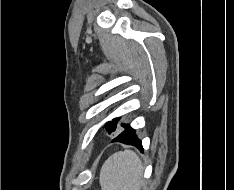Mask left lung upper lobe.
<instances>
[{"label":"left lung upper lobe","mask_w":234,"mask_h":190,"mask_svg":"<svg viewBox=\"0 0 234 190\" xmlns=\"http://www.w3.org/2000/svg\"><path fill=\"white\" fill-rule=\"evenodd\" d=\"M118 120H119V118H115V119H113V121L106 123V129H107L109 134L111 132H114L119 127L120 124L118 123ZM122 125L123 124H121V126Z\"/></svg>","instance_id":"5c2ea615"}]
</instances>
